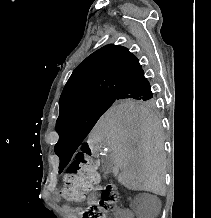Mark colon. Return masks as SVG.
Masks as SVG:
<instances>
[{"mask_svg":"<svg viewBox=\"0 0 211 218\" xmlns=\"http://www.w3.org/2000/svg\"><path fill=\"white\" fill-rule=\"evenodd\" d=\"M98 162L93 156L88 143L82 145L69 165L61 189V196L68 201H80L99 183ZM118 199V192L113 184H108L100 198L77 212V218H106L113 204Z\"/></svg>","mask_w":211,"mask_h":218,"instance_id":"5ec220e1","label":"colon"}]
</instances>
